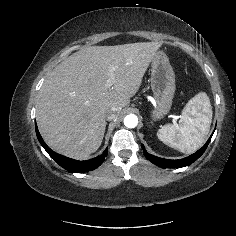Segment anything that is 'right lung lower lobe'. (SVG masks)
I'll use <instances>...</instances> for the list:
<instances>
[{"mask_svg": "<svg viewBox=\"0 0 236 236\" xmlns=\"http://www.w3.org/2000/svg\"><path fill=\"white\" fill-rule=\"evenodd\" d=\"M35 129H36L37 138L39 142L41 143V145L44 147V149L47 151V153L54 159V161L57 164H59L61 167H63L64 169H66L67 171L71 173H75V172L83 173V172L92 171L96 169L97 167H99L105 160V156H107L108 148H106L103 154H101L100 156H97L95 158H92L86 161H78V160L65 157L63 155H60L52 151L43 141L38 131L37 125L35 126Z\"/></svg>", "mask_w": 236, "mask_h": 236, "instance_id": "right-lung-lower-lobe-1", "label": "right lung lower lobe"}]
</instances>
